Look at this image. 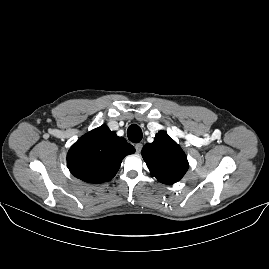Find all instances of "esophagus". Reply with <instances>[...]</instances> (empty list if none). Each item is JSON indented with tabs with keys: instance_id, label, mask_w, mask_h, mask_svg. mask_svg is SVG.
<instances>
[{
	"instance_id": "34e87169",
	"label": "esophagus",
	"mask_w": 269,
	"mask_h": 269,
	"mask_svg": "<svg viewBox=\"0 0 269 269\" xmlns=\"http://www.w3.org/2000/svg\"><path fill=\"white\" fill-rule=\"evenodd\" d=\"M143 148V144L142 143H137L135 145V151L137 154H139L141 152V149Z\"/></svg>"
}]
</instances>
